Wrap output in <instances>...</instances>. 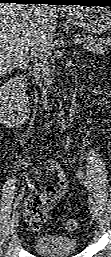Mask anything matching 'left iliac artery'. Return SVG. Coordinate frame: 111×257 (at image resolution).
I'll return each mask as SVG.
<instances>
[{
    "instance_id": "left-iliac-artery-1",
    "label": "left iliac artery",
    "mask_w": 111,
    "mask_h": 257,
    "mask_svg": "<svg viewBox=\"0 0 111 257\" xmlns=\"http://www.w3.org/2000/svg\"><path fill=\"white\" fill-rule=\"evenodd\" d=\"M79 175H80V177L82 178L83 183H84V185L86 186L87 190L90 192V187H89L88 181H87V179L85 178L83 172H82V171H79Z\"/></svg>"
}]
</instances>
